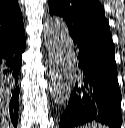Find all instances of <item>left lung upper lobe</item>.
<instances>
[{"label":"left lung upper lobe","instance_id":"left-lung-upper-lobe-1","mask_svg":"<svg viewBox=\"0 0 125 128\" xmlns=\"http://www.w3.org/2000/svg\"><path fill=\"white\" fill-rule=\"evenodd\" d=\"M51 15L62 17L74 41L114 51L110 27L98 0H48Z\"/></svg>","mask_w":125,"mask_h":128}]
</instances>
